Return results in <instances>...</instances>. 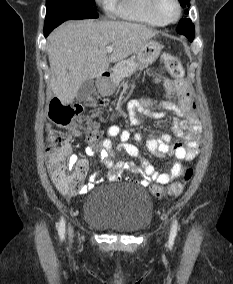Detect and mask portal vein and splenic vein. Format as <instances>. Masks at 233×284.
<instances>
[{
  "label": "portal vein and splenic vein",
  "instance_id": "1",
  "mask_svg": "<svg viewBox=\"0 0 233 284\" xmlns=\"http://www.w3.org/2000/svg\"><path fill=\"white\" fill-rule=\"evenodd\" d=\"M113 49H114V46L109 45V46H107L106 51H107L108 53H111V52L113 51Z\"/></svg>",
  "mask_w": 233,
  "mask_h": 284
}]
</instances>
